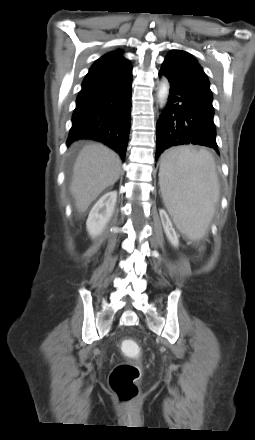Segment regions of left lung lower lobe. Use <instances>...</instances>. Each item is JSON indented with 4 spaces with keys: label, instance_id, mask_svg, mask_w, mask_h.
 Returning <instances> with one entry per match:
<instances>
[{
    "label": "left lung lower lobe",
    "instance_id": "obj_1",
    "mask_svg": "<svg viewBox=\"0 0 255 440\" xmlns=\"http://www.w3.org/2000/svg\"><path fill=\"white\" fill-rule=\"evenodd\" d=\"M159 75L167 77L170 95L157 123L156 160L164 150L184 144L207 146L219 153L212 100L175 80L163 67Z\"/></svg>",
    "mask_w": 255,
    "mask_h": 440
}]
</instances>
